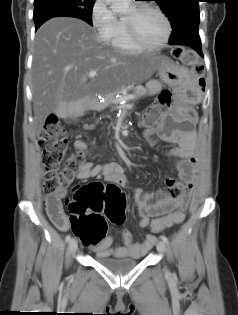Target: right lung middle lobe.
Instances as JSON below:
<instances>
[{
	"label": "right lung middle lobe",
	"instance_id": "right-lung-middle-lobe-1",
	"mask_svg": "<svg viewBox=\"0 0 238 315\" xmlns=\"http://www.w3.org/2000/svg\"><path fill=\"white\" fill-rule=\"evenodd\" d=\"M95 0H34V22L45 17L68 16L84 20L92 26Z\"/></svg>",
	"mask_w": 238,
	"mask_h": 315
}]
</instances>
